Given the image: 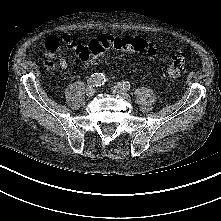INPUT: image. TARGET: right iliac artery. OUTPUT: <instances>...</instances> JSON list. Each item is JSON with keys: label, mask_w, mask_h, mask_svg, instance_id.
<instances>
[{"label": "right iliac artery", "mask_w": 221, "mask_h": 221, "mask_svg": "<svg viewBox=\"0 0 221 221\" xmlns=\"http://www.w3.org/2000/svg\"><path fill=\"white\" fill-rule=\"evenodd\" d=\"M106 78L102 73H94L88 79V86L90 87H97L104 84Z\"/></svg>", "instance_id": "right-iliac-artery-1"}]
</instances>
